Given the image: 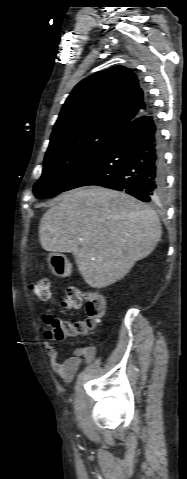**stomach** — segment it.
Segmentation results:
<instances>
[{"label":"stomach","mask_w":187,"mask_h":479,"mask_svg":"<svg viewBox=\"0 0 187 479\" xmlns=\"http://www.w3.org/2000/svg\"><path fill=\"white\" fill-rule=\"evenodd\" d=\"M51 271L59 277H67L71 274L72 266L67 257L60 253H52L48 256Z\"/></svg>","instance_id":"0dacf381"}]
</instances>
